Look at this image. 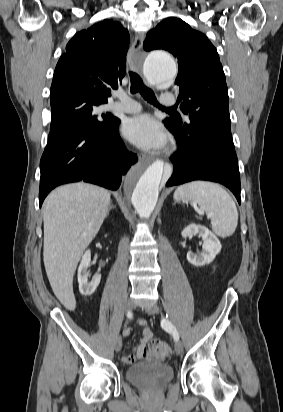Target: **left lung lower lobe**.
<instances>
[{
  "mask_svg": "<svg viewBox=\"0 0 283 412\" xmlns=\"http://www.w3.org/2000/svg\"><path fill=\"white\" fill-rule=\"evenodd\" d=\"M167 128L177 140L178 151L171 157L174 172L166 186L193 180L218 182L228 187L240 204V173L237 156L208 148L202 136L194 131L185 128L182 130Z\"/></svg>",
  "mask_w": 283,
  "mask_h": 412,
  "instance_id": "obj_1",
  "label": "left lung lower lobe"
}]
</instances>
